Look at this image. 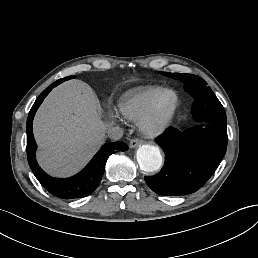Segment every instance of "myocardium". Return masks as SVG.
<instances>
[{"label": "myocardium", "instance_id": "1", "mask_svg": "<svg viewBox=\"0 0 258 258\" xmlns=\"http://www.w3.org/2000/svg\"><path fill=\"white\" fill-rule=\"evenodd\" d=\"M170 96L172 100L171 108L167 113H161L159 111V102L163 96ZM178 108V97L176 93L171 89H161L154 97L149 108L139 116L138 125L141 133L147 138H158L164 135L170 127V124L176 114ZM156 118L158 126L154 131H148L145 129V123Z\"/></svg>", "mask_w": 258, "mask_h": 258}]
</instances>
